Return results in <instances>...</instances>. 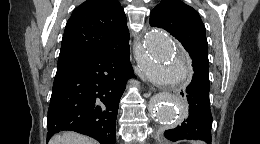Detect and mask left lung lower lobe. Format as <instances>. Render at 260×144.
<instances>
[{
    "label": "left lung lower lobe",
    "mask_w": 260,
    "mask_h": 144,
    "mask_svg": "<svg viewBox=\"0 0 260 144\" xmlns=\"http://www.w3.org/2000/svg\"><path fill=\"white\" fill-rule=\"evenodd\" d=\"M190 57L194 74L191 83L180 92L183 100L189 104V114L181 124L165 131L164 135L171 141L199 139L210 144L212 115L209 102V62L198 56Z\"/></svg>",
    "instance_id": "1"
}]
</instances>
